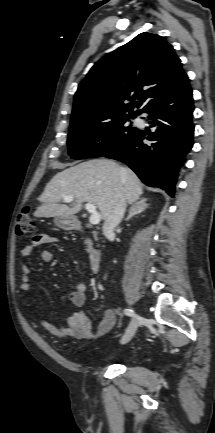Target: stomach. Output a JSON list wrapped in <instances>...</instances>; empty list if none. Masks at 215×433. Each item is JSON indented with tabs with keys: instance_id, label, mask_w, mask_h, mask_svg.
<instances>
[{
	"instance_id": "0dacf381",
	"label": "stomach",
	"mask_w": 215,
	"mask_h": 433,
	"mask_svg": "<svg viewBox=\"0 0 215 433\" xmlns=\"http://www.w3.org/2000/svg\"><path fill=\"white\" fill-rule=\"evenodd\" d=\"M54 223L61 229L70 230L75 227L76 220L73 217H56Z\"/></svg>"
}]
</instances>
